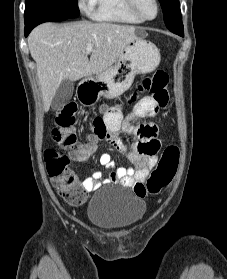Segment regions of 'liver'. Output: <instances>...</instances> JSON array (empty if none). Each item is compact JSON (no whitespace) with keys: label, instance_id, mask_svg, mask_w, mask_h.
Listing matches in <instances>:
<instances>
[{"label":"liver","instance_id":"liver-1","mask_svg":"<svg viewBox=\"0 0 227 279\" xmlns=\"http://www.w3.org/2000/svg\"><path fill=\"white\" fill-rule=\"evenodd\" d=\"M136 27L88 21L37 26L28 37V47L37 65L44 111L63 80L99 75L111 67L125 47L137 39ZM93 45L90 59L87 45Z\"/></svg>","mask_w":227,"mask_h":279}]
</instances>
